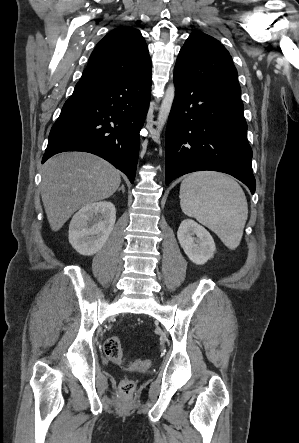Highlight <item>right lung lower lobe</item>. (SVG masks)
Returning <instances> with one entry per match:
<instances>
[{"mask_svg": "<svg viewBox=\"0 0 299 443\" xmlns=\"http://www.w3.org/2000/svg\"><path fill=\"white\" fill-rule=\"evenodd\" d=\"M151 83V74L78 82L50 131L42 163L64 151L90 152L111 162L133 183Z\"/></svg>", "mask_w": 299, "mask_h": 443, "instance_id": "obj_1", "label": "right lung lower lobe"}]
</instances>
